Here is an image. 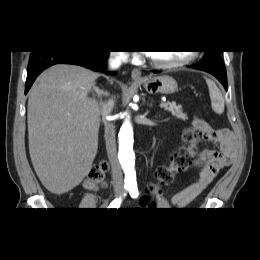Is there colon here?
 Returning a JSON list of instances; mask_svg holds the SVG:
<instances>
[{"label": "colon", "mask_w": 260, "mask_h": 260, "mask_svg": "<svg viewBox=\"0 0 260 260\" xmlns=\"http://www.w3.org/2000/svg\"><path fill=\"white\" fill-rule=\"evenodd\" d=\"M202 137V133L194 126L185 131L184 140L187 145L180 148L171 157L169 164L161 165L156 169L154 181L148 186V192L150 194H157L162 186L172 183L176 173L189 167L197 153V143ZM107 170L108 164L104 161L95 165L88 175L87 188L94 189L103 186L105 184V174ZM145 197L149 199L148 196Z\"/></svg>", "instance_id": "5ec220e1"}]
</instances>
